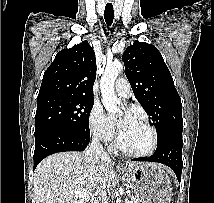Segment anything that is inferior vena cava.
<instances>
[{
    "label": "inferior vena cava",
    "mask_w": 214,
    "mask_h": 203,
    "mask_svg": "<svg viewBox=\"0 0 214 203\" xmlns=\"http://www.w3.org/2000/svg\"><path fill=\"white\" fill-rule=\"evenodd\" d=\"M87 154L94 161H97L99 159H103V160L110 159L109 155L104 151L103 146L100 144L98 137L92 138V141L87 150ZM107 200H108L107 194L102 192V193H100V195L97 198H95V200L93 202L94 203H108Z\"/></svg>",
    "instance_id": "obj_1"
}]
</instances>
